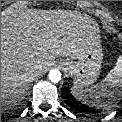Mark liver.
Masks as SVG:
<instances>
[{
	"label": "liver",
	"instance_id": "liver-1",
	"mask_svg": "<svg viewBox=\"0 0 122 122\" xmlns=\"http://www.w3.org/2000/svg\"><path fill=\"white\" fill-rule=\"evenodd\" d=\"M98 24L76 11L20 10L1 17V104L25 93L55 57L77 59L100 47Z\"/></svg>",
	"mask_w": 122,
	"mask_h": 122
}]
</instances>
